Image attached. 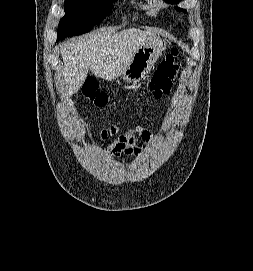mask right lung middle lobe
Here are the masks:
<instances>
[{
	"instance_id": "1",
	"label": "right lung middle lobe",
	"mask_w": 253,
	"mask_h": 271,
	"mask_svg": "<svg viewBox=\"0 0 253 271\" xmlns=\"http://www.w3.org/2000/svg\"><path fill=\"white\" fill-rule=\"evenodd\" d=\"M112 8L110 0H65V15L60 20L57 41L90 31Z\"/></svg>"
}]
</instances>
